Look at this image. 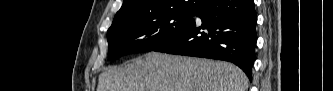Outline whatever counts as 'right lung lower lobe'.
I'll list each match as a JSON object with an SVG mask.
<instances>
[{
  "mask_svg": "<svg viewBox=\"0 0 333 91\" xmlns=\"http://www.w3.org/2000/svg\"><path fill=\"white\" fill-rule=\"evenodd\" d=\"M192 20L153 51L230 61L252 79L257 42L253 0H209Z\"/></svg>",
  "mask_w": 333,
  "mask_h": 91,
  "instance_id": "obj_1",
  "label": "right lung lower lobe"
}]
</instances>
